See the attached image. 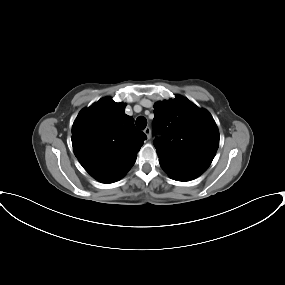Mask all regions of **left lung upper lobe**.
I'll use <instances>...</instances> for the list:
<instances>
[{
  "label": "left lung upper lobe",
  "instance_id": "5c2ea615",
  "mask_svg": "<svg viewBox=\"0 0 285 285\" xmlns=\"http://www.w3.org/2000/svg\"><path fill=\"white\" fill-rule=\"evenodd\" d=\"M153 127L162 134L154 146L159 157L205 171L219 146V131L211 114L188 99L157 102Z\"/></svg>",
  "mask_w": 285,
  "mask_h": 285
}]
</instances>
